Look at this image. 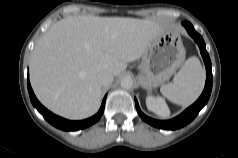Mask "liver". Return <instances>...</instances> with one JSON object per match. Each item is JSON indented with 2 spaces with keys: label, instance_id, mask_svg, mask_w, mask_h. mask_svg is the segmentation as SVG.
Listing matches in <instances>:
<instances>
[{
  "label": "liver",
  "instance_id": "6515ba94",
  "mask_svg": "<svg viewBox=\"0 0 238 158\" xmlns=\"http://www.w3.org/2000/svg\"><path fill=\"white\" fill-rule=\"evenodd\" d=\"M161 29L152 20L124 17L75 16L54 23L30 60L37 98L65 118L94 115L102 98L97 74H121L129 62L144 55Z\"/></svg>",
  "mask_w": 238,
  "mask_h": 158
}]
</instances>
